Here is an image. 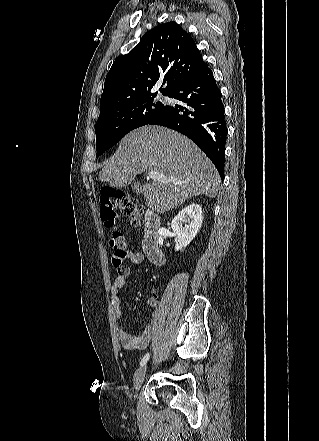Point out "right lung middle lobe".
I'll return each instance as SVG.
<instances>
[{
  "label": "right lung middle lobe",
  "mask_w": 319,
  "mask_h": 441,
  "mask_svg": "<svg viewBox=\"0 0 319 441\" xmlns=\"http://www.w3.org/2000/svg\"><path fill=\"white\" fill-rule=\"evenodd\" d=\"M155 96L116 104L100 111L95 125L96 156L102 155L131 130L150 124L162 113L165 105L153 103Z\"/></svg>",
  "instance_id": "obj_1"
}]
</instances>
